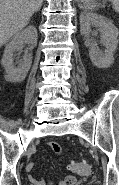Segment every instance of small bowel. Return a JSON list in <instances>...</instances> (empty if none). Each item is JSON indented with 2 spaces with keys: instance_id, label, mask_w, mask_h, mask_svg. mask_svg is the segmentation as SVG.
<instances>
[{
  "instance_id": "small-bowel-1",
  "label": "small bowel",
  "mask_w": 119,
  "mask_h": 185,
  "mask_svg": "<svg viewBox=\"0 0 119 185\" xmlns=\"http://www.w3.org/2000/svg\"><path fill=\"white\" fill-rule=\"evenodd\" d=\"M49 146L56 152V153H60L61 152V148L60 146L56 143V142H50ZM33 169V164L30 163L27 166V170L31 171ZM30 182L32 183V185H53L51 183H47L42 179L36 178L33 175H30L29 177ZM75 178L73 176H67L63 181H61L59 183V185H74L75 184Z\"/></svg>"
}]
</instances>
